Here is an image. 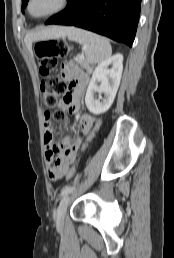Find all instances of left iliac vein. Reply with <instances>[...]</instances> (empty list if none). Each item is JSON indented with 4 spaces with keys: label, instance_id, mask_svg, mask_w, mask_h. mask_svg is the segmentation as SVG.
Listing matches in <instances>:
<instances>
[{
    "label": "left iliac vein",
    "instance_id": "1",
    "mask_svg": "<svg viewBox=\"0 0 174 258\" xmlns=\"http://www.w3.org/2000/svg\"><path fill=\"white\" fill-rule=\"evenodd\" d=\"M72 199V194H66L63 195V197L61 198V201L59 203V206L57 208V212H56V223L58 225H62L64 223V218L66 215V211H67V207L68 204L70 203Z\"/></svg>",
    "mask_w": 174,
    "mask_h": 258
}]
</instances>
